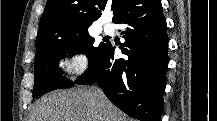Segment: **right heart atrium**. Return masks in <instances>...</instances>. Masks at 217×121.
<instances>
[{
	"instance_id": "obj_1",
	"label": "right heart atrium",
	"mask_w": 217,
	"mask_h": 121,
	"mask_svg": "<svg viewBox=\"0 0 217 121\" xmlns=\"http://www.w3.org/2000/svg\"><path fill=\"white\" fill-rule=\"evenodd\" d=\"M64 64H65V62H62V65H64ZM87 64H88V60H87V57L85 55L76 54V55H73L71 57V59L69 60L67 68H70L73 71L80 73L86 69Z\"/></svg>"
}]
</instances>
